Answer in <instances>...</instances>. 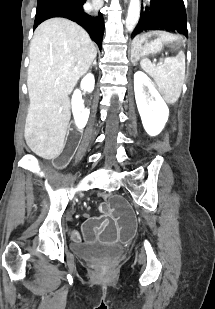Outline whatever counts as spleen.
<instances>
[{"instance_id": "3e777b00", "label": "spleen", "mask_w": 215, "mask_h": 309, "mask_svg": "<svg viewBox=\"0 0 215 309\" xmlns=\"http://www.w3.org/2000/svg\"><path fill=\"white\" fill-rule=\"evenodd\" d=\"M182 54L183 52L180 50L177 56L160 58V60H164L163 64H153L150 58H142L140 60L143 70L154 78L158 90H160L164 100L169 102V104L177 102L181 94L182 78L179 62Z\"/></svg>"}]
</instances>
